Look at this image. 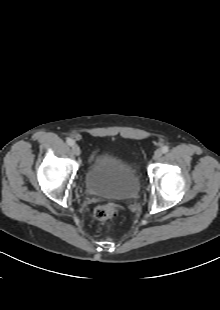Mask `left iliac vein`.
I'll return each mask as SVG.
<instances>
[{"mask_svg":"<svg viewBox=\"0 0 220 310\" xmlns=\"http://www.w3.org/2000/svg\"><path fill=\"white\" fill-rule=\"evenodd\" d=\"M161 157H162V151L161 150H156L154 155H153V159L155 161H158V160H160Z\"/></svg>","mask_w":220,"mask_h":310,"instance_id":"1","label":"left iliac vein"}]
</instances>
